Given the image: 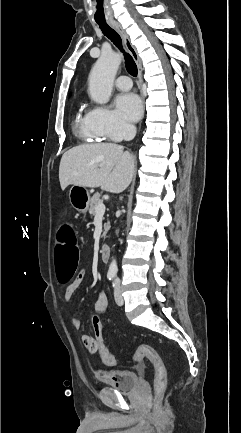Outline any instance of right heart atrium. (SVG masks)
Masks as SVG:
<instances>
[{
    "label": "right heart atrium",
    "instance_id": "right-heart-atrium-1",
    "mask_svg": "<svg viewBox=\"0 0 241 433\" xmlns=\"http://www.w3.org/2000/svg\"><path fill=\"white\" fill-rule=\"evenodd\" d=\"M93 129L105 139L116 140L131 131V126L105 106H95L89 111Z\"/></svg>",
    "mask_w": 241,
    "mask_h": 433
}]
</instances>
